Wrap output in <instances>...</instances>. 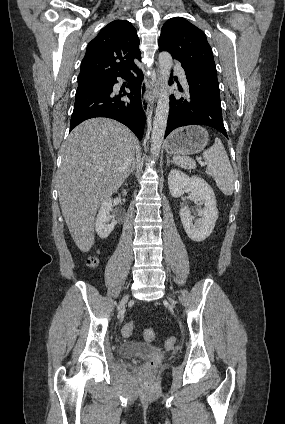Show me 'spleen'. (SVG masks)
<instances>
[{
	"label": "spleen",
	"instance_id": "obj_1",
	"mask_svg": "<svg viewBox=\"0 0 285 424\" xmlns=\"http://www.w3.org/2000/svg\"><path fill=\"white\" fill-rule=\"evenodd\" d=\"M203 158L207 164L206 173L214 178L217 187L224 195H232L235 177L228 155L219 138H215L213 146L203 152ZM173 161L186 169L196 167L195 161L189 157L174 156Z\"/></svg>",
	"mask_w": 285,
	"mask_h": 424
}]
</instances>
